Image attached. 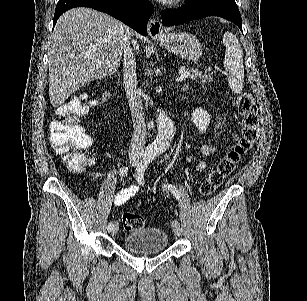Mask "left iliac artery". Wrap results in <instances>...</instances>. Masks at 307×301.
Here are the masks:
<instances>
[{
  "instance_id": "obj_1",
  "label": "left iliac artery",
  "mask_w": 307,
  "mask_h": 301,
  "mask_svg": "<svg viewBox=\"0 0 307 301\" xmlns=\"http://www.w3.org/2000/svg\"><path fill=\"white\" fill-rule=\"evenodd\" d=\"M152 160L153 158H147V159L142 160L139 163L136 169V178L140 184L144 183V172L147 166L150 164V162H152ZM164 188L170 190V192L176 197V199H178V201L179 200L181 201V195L176 186L172 184H164Z\"/></svg>"
}]
</instances>
